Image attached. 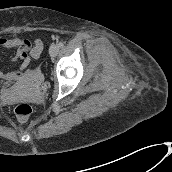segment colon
Wrapping results in <instances>:
<instances>
[{"instance_id": "colon-1", "label": "colon", "mask_w": 172, "mask_h": 172, "mask_svg": "<svg viewBox=\"0 0 172 172\" xmlns=\"http://www.w3.org/2000/svg\"><path fill=\"white\" fill-rule=\"evenodd\" d=\"M32 112V106L27 103H20L14 108V113L16 117L22 122L26 121L30 117Z\"/></svg>"}]
</instances>
